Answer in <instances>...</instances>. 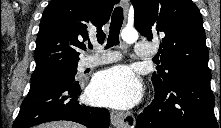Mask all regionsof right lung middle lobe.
I'll return each mask as SVG.
<instances>
[{"mask_svg": "<svg viewBox=\"0 0 221 128\" xmlns=\"http://www.w3.org/2000/svg\"><path fill=\"white\" fill-rule=\"evenodd\" d=\"M77 73V65H72L69 67H65L54 71L47 75H40V76H32L31 77V84L36 83L38 81L47 79L49 77H60V78H67V79H75V74Z\"/></svg>", "mask_w": 221, "mask_h": 128, "instance_id": "obj_1", "label": "right lung middle lobe"}]
</instances>
